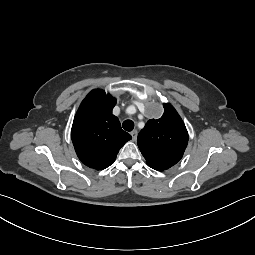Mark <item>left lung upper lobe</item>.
<instances>
[{
	"mask_svg": "<svg viewBox=\"0 0 255 255\" xmlns=\"http://www.w3.org/2000/svg\"><path fill=\"white\" fill-rule=\"evenodd\" d=\"M159 119H150L138 135V147L151 168L166 170L182 158L188 132L181 117L169 103Z\"/></svg>",
	"mask_w": 255,
	"mask_h": 255,
	"instance_id": "left-lung-upper-lobe-1",
	"label": "left lung upper lobe"
}]
</instances>
